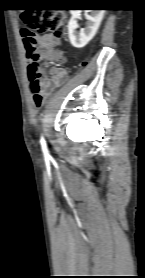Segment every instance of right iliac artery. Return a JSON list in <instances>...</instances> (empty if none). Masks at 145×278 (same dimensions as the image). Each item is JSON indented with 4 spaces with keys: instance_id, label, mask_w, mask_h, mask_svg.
<instances>
[{
    "instance_id": "1",
    "label": "right iliac artery",
    "mask_w": 145,
    "mask_h": 278,
    "mask_svg": "<svg viewBox=\"0 0 145 278\" xmlns=\"http://www.w3.org/2000/svg\"><path fill=\"white\" fill-rule=\"evenodd\" d=\"M40 142H41L42 151L44 152V154H47L48 149H47V145H46V142L43 137H41Z\"/></svg>"
}]
</instances>
